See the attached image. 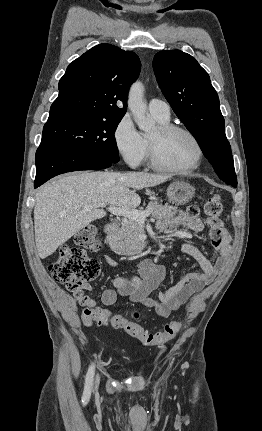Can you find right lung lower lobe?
Returning <instances> with one entry per match:
<instances>
[{"instance_id":"98d812e1","label":"right lung lower lobe","mask_w":262,"mask_h":431,"mask_svg":"<svg viewBox=\"0 0 262 431\" xmlns=\"http://www.w3.org/2000/svg\"><path fill=\"white\" fill-rule=\"evenodd\" d=\"M35 162V188L65 172L105 169L112 165L111 162L84 151L48 145L39 146Z\"/></svg>"}]
</instances>
